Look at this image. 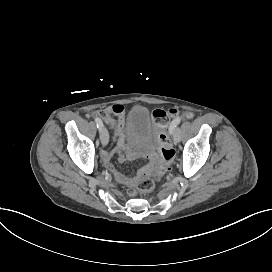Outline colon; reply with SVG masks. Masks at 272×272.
Segmentation results:
<instances>
[{
    "label": "colon",
    "instance_id": "obj_1",
    "mask_svg": "<svg viewBox=\"0 0 272 272\" xmlns=\"http://www.w3.org/2000/svg\"><path fill=\"white\" fill-rule=\"evenodd\" d=\"M178 114V109L170 107L168 109H158L153 113L154 132L153 137L157 143V147L161 150L160 162L154 166L150 165L145 171V175L141 179L133 181L129 188V193H136L137 190L147 192L153 188V181H159L167 171V166L171 164L174 156V138L168 127L170 118ZM116 176H122L121 172H117Z\"/></svg>",
    "mask_w": 272,
    "mask_h": 272
}]
</instances>
